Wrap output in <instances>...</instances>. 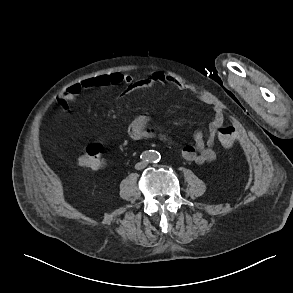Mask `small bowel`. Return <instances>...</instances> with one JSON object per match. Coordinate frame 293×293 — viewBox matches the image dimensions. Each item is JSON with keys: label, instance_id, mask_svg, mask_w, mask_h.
Masks as SVG:
<instances>
[{"label": "small bowel", "instance_id": "small-bowel-1", "mask_svg": "<svg viewBox=\"0 0 293 293\" xmlns=\"http://www.w3.org/2000/svg\"><path fill=\"white\" fill-rule=\"evenodd\" d=\"M170 83L179 90H187V87L179 80L169 77L161 72H154L149 78H144L136 83L130 75L121 72H111L99 74L94 77H88L80 82L68 86L61 92L56 102L60 108L68 112L70 103L77 101L78 95L91 88H107L117 87L121 84H127L129 89L139 87H154L157 84ZM214 116L208 126V133L198 131L194 135V143L187 144L182 149V156L185 160L197 164L210 163L215 160L216 153L213 150L215 135L217 130L224 123V115L221 109L214 108ZM149 117L147 115H139L128 126V133L134 140H141L155 136V130L149 128ZM163 137V136H162Z\"/></svg>", "mask_w": 293, "mask_h": 293}]
</instances>
